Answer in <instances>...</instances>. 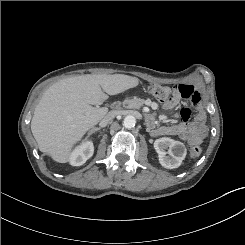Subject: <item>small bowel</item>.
Segmentation results:
<instances>
[{
	"label": "small bowel",
	"mask_w": 245,
	"mask_h": 245,
	"mask_svg": "<svg viewBox=\"0 0 245 245\" xmlns=\"http://www.w3.org/2000/svg\"><path fill=\"white\" fill-rule=\"evenodd\" d=\"M181 99L198 103L202 99V91L189 83L180 84L176 86L172 97L164 103L163 108L172 110L180 103ZM193 112L190 107L183 108L180 111L179 122L169 126H157L156 122L152 120L149 123L151 133L154 136H178L190 145H199L207 137L206 114L202 109H198L193 119L190 120Z\"/></svg>",
	"instance_id": "obj_1"
}]
</instances>
